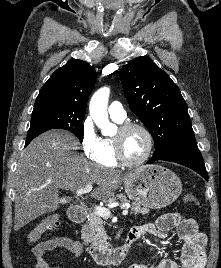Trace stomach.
Returning a JSON list of instances; mask_svg holds the SVG:
<instances>
[{"label":"stomach","mask_w":221,"mask_h":268,"mask_svg":"<svg viewBox=\"0 0 221 268\" xmlns=\"http://www.w3.org/2000/svg\"><path fill=\"white\" fill-rule=\"evenodd\" d=\"M127 196L144 207L164 208L172 204L182 192L179 177L160 165H145L134 170L124 183Z\"/></svg>","instance_id":"0dacf381"}]
</instances>
